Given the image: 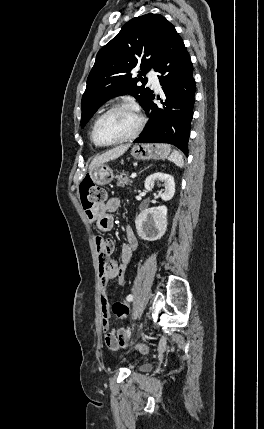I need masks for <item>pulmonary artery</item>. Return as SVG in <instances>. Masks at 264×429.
<instances>
[{
	"label": "pulmonary artery",
	"instance_id": "1",
	"mask_svg": "<svg viewBox=\"0 0 264 429\" xmlns=\"http://www.w3.org/2000/svg\"><path fill=\"white\" fill-rule=\"evenodd\" d=\"M148 80L149 83L155 88V90H161L157 74L153 70L149 71Z\"/></svg>",
	"mask_w": 264,
	"mask_h": 429
}]
</instances>
